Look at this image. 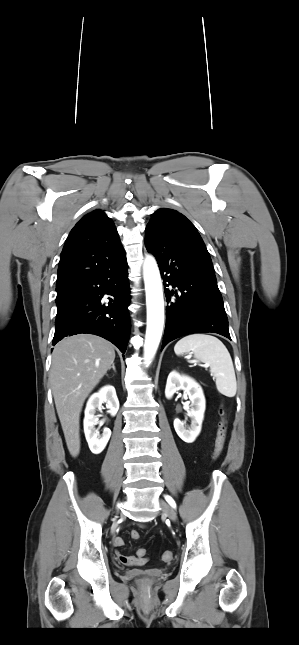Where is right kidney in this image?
Instances as JSON below:
<instances>
[{
	"instance_id": "obj_1",
	"label": "right kidney",
	"mask_w": 299,
	"mask_h": 645,
	"mask_svg": "<svg viewBox=\"0 0 299 645\" xmlns=\"http://www.w3.org/2000/svg\"><path fill=\"white\" fill-rule=\"evenodd\" d=\"M104 402L111 416H115L119 410V401L113 386H105L97 393L91 395L86 405L84 433L89 448L94 454H99L104 450L111 436V430L109 428H104L101 435L95 428L98 424V418L95 416L96 410L100 409Z\"/></svg>"
}]
</instances>
